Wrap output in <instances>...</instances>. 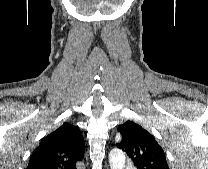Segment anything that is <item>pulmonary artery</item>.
<instances>
[{"mask_svg": "<svg viewBox=\"0 0 208 169\" xmlns=\"http://www.w3.org/2000/svg\"><path fill=\"white\" fill-rule=\"evenodd\" d=\"M128 169H137L136 167H128Z\"/></svg>", "mask_w": 208, "mask_h": 169, "instance_id": "obj_1", "label": "pulmonary artery"}]
</instances>
